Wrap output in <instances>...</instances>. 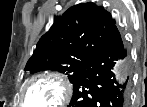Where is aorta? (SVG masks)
<instances>
[{
	"instance_id": "762f6f07",
	"label": "aorta",
	"mask_w": 147,
	"mask_h": 107,
	"mask_svg": "<svg viewBox=\"0 0 147 107\" xmlns=\"http://www.w3.org/2000/svg\"><path fill=\"white\" fill-rule=\"evenodd\" d=\"M126 73H127V70H126V68L124 66V62L118 61L116 63L115 68H114L115 77L118 79V78L122 77Z\"/></svg>"
}]
</instances>
